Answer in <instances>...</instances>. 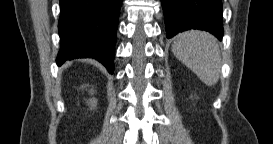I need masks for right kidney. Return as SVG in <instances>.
<instances>
[{
  "label": "right kidney",
  "mask_w": 273,
  "mask_h": 144,
  "mask_svg": "<svg viewBox=\"0 0 273 144\" xmlns=\"http://www.w3.org/2000/svg\"><path fill=\"white\" fill-rule=\"evenodd\" d=\"M95 102H96V101H95L94 99L89 101V103L92 104V105H93Z\"/></svg>",
  "instance_id": "obj_1"
}]
</instances>
